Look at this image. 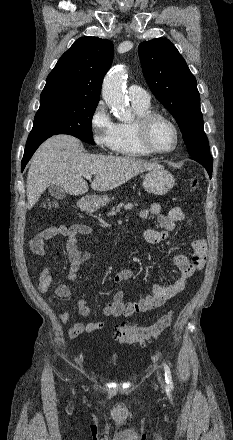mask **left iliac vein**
<instances>
[{
  "label": "left iliac vein",
  "mask_w": 233,
  "mask_h": 440,
  "mask_svg": "<svg viewBox=\"0 0 233 440\" xmlns=\"http://www.w3.org/2000/svg\"><path fill=\"white\" fill-rule=\"evenodd\" d=\"M158 381L162 387H164V380L160 372L157 373Z\"/></svg>",
  "instance_id": "left-iliac-vein-1"
}]
</instances>
